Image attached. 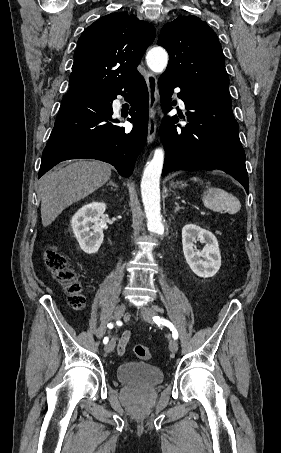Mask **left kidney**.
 Returning <instances> with one entry per match:
<instances>
[{
    "label": "left kidney",
    "mask_w": 281,
    "mask_h": 453,
    "mask_svg": "<svg viewBox=\"0 0 281 453\" xmlns=\"http://www.w3.org/2000/svg\"><path fill=\"white\" fill-rule=\"evenodd\" d=\"M196 241L206 243L202 251H194ZM182 245L184 257L195 275L205 279L216 275L221 267V255L215 235L197 227V224H185L182 229Z\"/></svg>",
    "instance_id": "1"
}]
</instances>
